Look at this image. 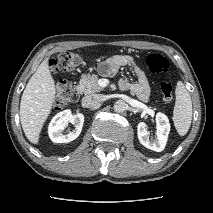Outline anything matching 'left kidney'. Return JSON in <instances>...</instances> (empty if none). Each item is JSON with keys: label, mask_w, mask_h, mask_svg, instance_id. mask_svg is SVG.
<instances>
[{"label": "left kidney", "mask_w": 213, "mask_h": 213, "mask_svg": "<svg viewBox=\"0 0 213 213\" xmlns=\"http://www.w3.org/2000/svg\"><path fill=\"white\" fill-rule=\"evenodd\" d=\"M156 129V139L150 140L146 123L140 122L137 126V135L140 143L144 147L156 152H161L166 146V142L170 132L169 120L165 114H156Z\"/></svg>", "instance_id": "5707ae66"}]
</instances>
